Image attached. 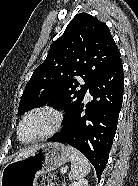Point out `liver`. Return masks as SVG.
<instances>
[{
	"instance_id": "liver-1",
	"label": "liver",
	"mask_w": 138,
	"mask_h": 186,
	"mask_svg": "<svg viewBox=\"0 0 138 186\" xmlns=\"http://www.w3.org/2000/svg\"><path fill=\"white\" fill-rule=\"evenodd\" d=\"M33 150H34V147H31V148H28L24 151H21L20 153L17 154L16 158L17 157H25V156L29 155Z\"/></svg>"
}]
</instances>
